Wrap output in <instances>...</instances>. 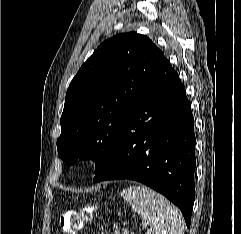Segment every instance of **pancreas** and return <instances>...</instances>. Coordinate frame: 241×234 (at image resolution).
<instances>
[{
	"label": "pancreas",
	"instance_id": "cf45deb5",
	"mask_svg": "<svg viewBox=\"0 0 241 234\" xmlns=\"http://www.w3.org/2000/svg\"><path fill=\"white\" fill-rule=\"evenodd\" d=\"M113 234H120V232L119 231H115Z\"/></svg>",
	"mask_w": 241,
	"mask_h": 234
}]
</instances>
